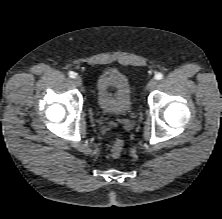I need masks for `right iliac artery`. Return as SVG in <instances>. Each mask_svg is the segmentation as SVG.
<instances>
[{"label":"right iliac artery","instance_id":"obj_1","mask_svg":"<svg viewBox=\"0 0 222 219\" xmlns=\"http://www.w3.org/2000/svg\"><path fill=\"white\" fill-rule=\"evenodd\" d=\"M76 75L77 74L75 72H73V71L69 72V77H71V78H75Z\"/></svg>","mask_w":222,"mask_h":219}]
</instances>
